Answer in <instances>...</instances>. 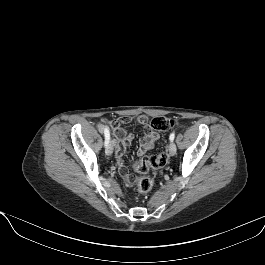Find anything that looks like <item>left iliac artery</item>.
Masks as SVG:
<instances>
[{
  "label": "left iliac artery",
  "mask_w": 265,
  "mask_h": 265,
  "mask_svg": "<svg viewBox=\"0 0 265 265\" xmlns=\"http://www.w3.org/2000/svg\"><path fill=\"white\" fill-rule=\"evenodd\" d=\"M174 138H175V133L173 132V133L170 134L169 139L172 142L174 140Z\"/></svg>",
  "instance_id": "1"
}]
</instances>
